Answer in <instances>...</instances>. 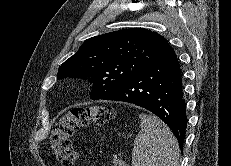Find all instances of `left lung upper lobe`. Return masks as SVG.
Returning <instances> with one entry per match:
<instances>
[{
  "instance_id": "obj_1",
  "label": "left lung upper lobe",
  "mask_w": 231,
  "mask_h": 166,
  "mask_svg": "<svg viewBox=\"0 0 231 166\" xmlns=\"http://www.w3.org/2000/svg\"><path fill=\"white\" fill-rule=\"evenodd\" d=\"M168 46L163 36L144 28L95 36L85 40L79 51L60 66L57 79L91 77V98L98 100L151 63Z\"/></svg>"
}]
</instances>
